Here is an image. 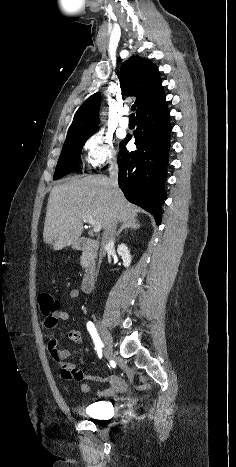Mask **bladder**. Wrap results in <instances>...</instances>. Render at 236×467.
Returning a JSON list of instances; mask_svg holds the SVG:
<instances>
[{
  "instance_id": "1",
  "label": "bladder",
  "mask_w": 236,
  "mask_h": 467,
  "mask_svg": "<svg viewBox=\"0 0 236 467\" xmlns=\"http://www.w3.org/2000/svg\"><path fill=\"white\" fill-rule=\"evenodd\" d=\"M112 410V406L108 401H99L90 404L85 410V414L94 418L102 417Z\"/></svg>"
}]
</instances>
